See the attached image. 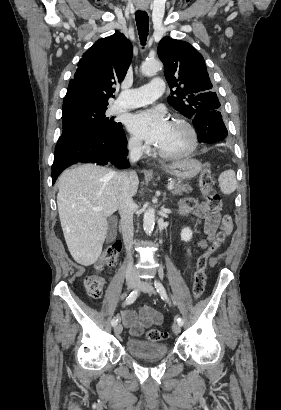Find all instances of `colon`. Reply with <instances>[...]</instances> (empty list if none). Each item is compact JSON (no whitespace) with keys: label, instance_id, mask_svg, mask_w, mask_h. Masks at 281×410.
I'll list each match as a JSON object with an SVG mask.
<instances>
[{"label":"colon","instance_id":"obj_1","mask_svg":"<svg viewBox=\"0 0 281 410\" xmlns=\"http://www.w3.org/2000/svg\"><path fill=\"white\" fill-rule=\"evenodd\" d=\"M200 185L201 191L205 198V204L198 206L195 211H199L201 213H206L208 211L220 213L222 211V202L219 194L214 189L213 171L210 166H206L201 172ZM230 222L231 219L229 216L226 215L223 217L224 226L228 225ZM225 237V231H220L209 250L197 258L192 286V294L196 300L202 297L205 290V270L207 267L208 257L221 245V243L225 240ZM120 251L121 244L119 242L107 246L100 257L97 269L100 270L103 265L114 266L117 262ZM84 286L89 297L92 299H99L103 293L104 279L97 274H89L85 277ZM146 337L149 341L160 342L167 338V333L159 329H149L146 331Z\"/></svg>","mask_w":281,"mask_h":410}]
</instances>
